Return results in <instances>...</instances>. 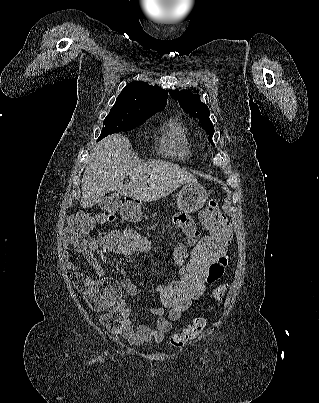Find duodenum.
Masks as SVG:
<instances>
[{"label":"duodenum","mask_w":319,"mask_h":403,"mask_svg":"<svg viewBox=\"0 0 319 403\" xmlns=\"http://www.w3.org/2000/svg\"><path fill=\"white\" fill-rule=\"evenodd\" d=\"M136 209V203H125L122 207V213L126 218H130L134 215Z\"/></svg>","instance_id":"1"}]
</instances>
